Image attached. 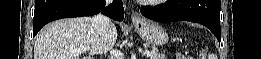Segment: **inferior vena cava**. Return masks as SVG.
Wrapping results in <instances>:
<instances>
[{
    "instance_id": "obj_1",
    "label": "inferior vena cava",
    "mask_w": 261,
    "mask_h": 59,
    "mask_svg": "<svg viewBox=\"0 0 261 59\" xmlns=\"http://www.w3.org/2000/svg\"><path fill=\"white\" fill-rule=\"evenodd\" d=\"M112 0H106V5L110 4ZM92 28L100 35L105 36L107 33V30L110 26L109 18L102 15L97 14L92 18Z\"/></svg>"
}]
</instances>
